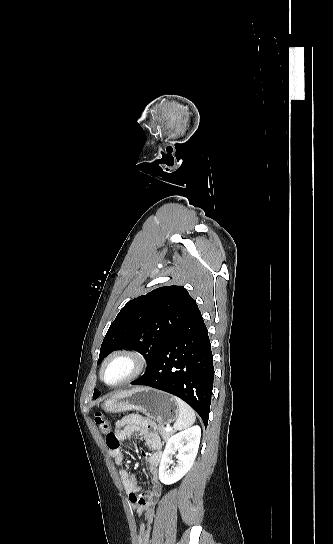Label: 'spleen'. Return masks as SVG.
Listing matches in <instances>:
<instances>
[{"mask_svg": "<svg viewBox=\"0 0 333 544\" xmlns=\"http://www.w3.org/2000/svg\"><path fill=\"white\" fill-rule=\"evenodd\" d=\"M175 402L178 405V418L174 423L175 430H183L191 426L195 422V413L192 408L182 399L174 396Z\"/></svg>", "mask_w": 333, "mask_h": 544, "instance_id": "obj_1", "label": "spleen"}]
</instances>
